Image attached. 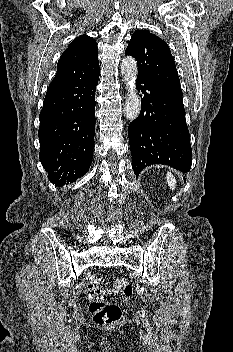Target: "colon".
Masks as SVG:
<instances>
[{
  "instance_id": "obj_1",
  "label": "colon",
  "mask_w": 233,
  "mask_h": 352,
  "mask_svg": "<svg viewBox=\"0 0 233 352\" xmlns=\"http://www.w3.org/2000/svg\"><path fill=\"white\" fill-rule=\"evenodd\" d=\"M100 278L92 277L86 282V293L90 300L89 311L95 323L110 325L117 322L122 316L121 308L106 301L108 291L99 285ZM132 285L124 278H116L112 283V294L130 296Z\"/></svg>"
}]
</instances>
